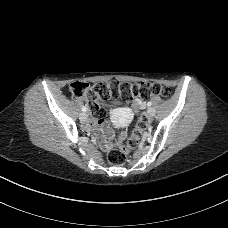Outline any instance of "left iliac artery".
<instances>
[{"instance_id":"left-iliac-artery-1","label":"left iliac artery","mask_w":228,"mask_h":228,"mask_svg":"<svg viewBox=\"0 0 228 228\" xmlns=\"http://www.w3.org/2000/svg\"><path fill=\"white\" fill-rule=\"evenodd\" d=\"M151 105H152V103L149 101V102L147 103V106L150 107Z\"/></svg>"}]
</instances>
